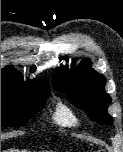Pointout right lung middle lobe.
<instances>
[{
    "instance_id": "right-lung-middle-lobe-1",
    "label": "right lung middle lobe",
    "mask_w": 123,
    "mask_h": 152,
    "mask_svg": "<svg viewBox=\"0 0 123 152\" xmlns=\"http://www.w3.org/2000/svg\"><path fill=\"white\" fill-rule=\"evenodd\" d=\"M49 94H22L10 86H1V126H22L40 111Z\"/></svg>"
}]
</instances>
